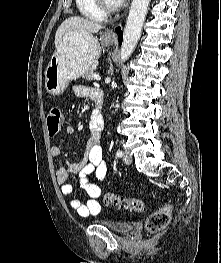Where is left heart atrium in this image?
Returning <instances> with one entry per match:
<instances>
[{
    "mask_svg": "<svg viewBox=\"0 0 221 263\" xmlns=\"http://www.w3.org/2000/svg\"><path fill=\"white\" fill-rule=\"evenodd\" d=\"M124 2V0H114V3L116 4V5H120L121 3H123Z\"/></svg>",
    "mask_w": 221,
    "mask_h": 263,
    "instance_id": "1",
    "label": "left heart atrium"
}]
</instances>
